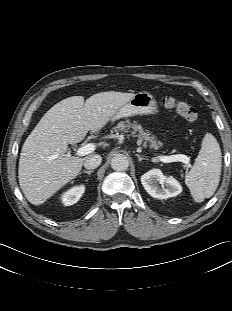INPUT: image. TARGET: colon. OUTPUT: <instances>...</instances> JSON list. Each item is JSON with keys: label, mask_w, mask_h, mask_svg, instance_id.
<instances>
[{"label": "colon", "mask_w": 232, "mask_h": 311, "mask_svg": "<svg viewBox=\"0 0 232 311\" xmlns=\"http://www.w3.org/2000/svg\"><path fill=\"white\" fill-rule=\"evenodd\" d=\"M161 104L169 110L175 111L179 116L188 122H194L198 118L197 109L190 103L177 100L173 97H164Z\"/></svg>", "instance_id": "obj_1"}]
</instances>
